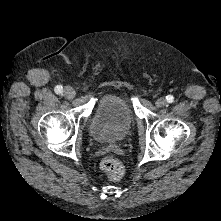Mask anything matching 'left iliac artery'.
I'll return each mask as SVG.
<instances>
[{
	"instance_id": "obj_1",
	"label": "left iliac artery",
	"mask_w": 221,
	"mask_h": 221,
	"mask_svg": "<svg viewBox=\"0 0 221 221\" xmlns=\"http://www.w3.org/2000/svg\"><path fill=\"white\" fill-rule=\"evenodd\" d=\"M166 99H167V102L169 103H172L174 101V97L172 95H168Z\"/></svg>"
}]
</instances>
